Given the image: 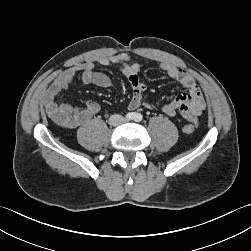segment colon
Returning <instances> with one entry per match:
<instances>
[{
    "instance_id": "colon-1",
    "label": "colon",
    "mask_w": 251,
    "mask_h": 251,
    "mask_svg": "<svg viewBox=\"0 0 251 251\" xmlns=\"http://www.w3.org/2000/svg\"><path fill=\"white\" fill-rule=\"evenodd\" d=\"M57 120L59 121V124L63 125V126H68L67 120L66 118H64L63 116H57ZM194 131V126L191 124H187L184 126V132L187 134H191Z\"/></svg>"
}]
</instances>
